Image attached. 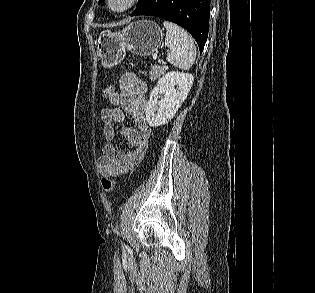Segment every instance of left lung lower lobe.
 <instances>
[{"mask_svg": "<svg viewBox=\"0 0 315 293\" xmlns=\"http://www.w3.org/2000/svg\"><path fill=\"white\" fill-rule=\"evenodd\" d=\"M209 8L210 0H145L131 16H157L180 25L202 52L208 37Z\"/></svg>", "mask_w": 315, "mask_h": 293, "instance_id": "obj_1", "label": "left lung lower lobe"}]
</instances>
